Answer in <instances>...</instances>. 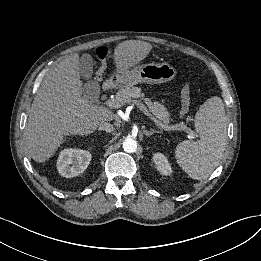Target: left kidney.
<instances>
[{
	"instance_id": "left-kidney-1",
	"label": "left kidney",
	"mask_w": 261,
	"mask_h": 261,
	"mask_svg": "<svg viewBox=\"0 0 261 261\" xmlns=\"http://www.w3.org/2000/svg\"><path fill=\"white\" fill-rule=\"evenodd\" d=\"M153 161L158 171L163 175H170L172 173V167L167 157L162 153H155L153 155Z\"/></svg>"
}]
</instances>
